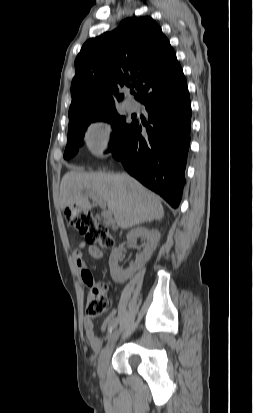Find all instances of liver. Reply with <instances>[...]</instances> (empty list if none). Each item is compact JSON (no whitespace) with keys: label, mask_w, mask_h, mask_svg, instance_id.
Returning a JSON list of instances; mask_svg holds the SVG:
<instances>
[{"label":"liver","mask_w":253,"mask_h":413,"mask_svg":"<svg viewBox=\"0 0 253 413\" xmlns=\"http://www.w3.org/2000/svg\"><path fill=\"white\" fill-rule=\"evenodd\" d=\"M86 191L95 192L107 204L117 225L123 229L164 217L159 197L127 173H84L80 170L66 173L60 185L61 209L76 204L90 210L92 205L83 195Z\"/></svg>","instance_id":"liver-1"}]
</instances>
